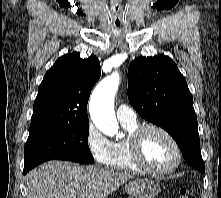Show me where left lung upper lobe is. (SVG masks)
I'll list each match as a JSON object with an SVG mask.
<instances>
[{"mask_svg":"<svg viewBox=\"0 0 221 198\" xmlns=\"http://www.w3.org/2000/svg\"><path fill=\"white\" fill-rule=\"evenodd\" d=\"M128 98L143 118L174 138L189 165L205 172L192 94L171 58L159 55L132 61L128 68Z\"/></svg>","mask_w":221,"mask_h":198,"instance_id":"left-lung-upper-lobe-1","label":"left lung upper lobe"}]
</instances>
